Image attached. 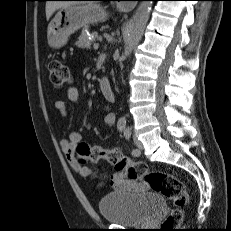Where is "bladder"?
I'll use <instances>...</instances> for the list:
<instances>
[{"label":"bladder","instance_id":"31cf9c89","mask_svg":"<svg viewBox=\"0 0 231 231\" xmlns=\"http://www.w3.org/2000/svg\"><path fill=\"white\" fill-rule=\"evenodd\" d=\"M166 208L157 193L112 192L98 202L105 221L123 226H141L153 221Z\"/></svg>","mask_w":231,"mask_h":231}]
</instances>
